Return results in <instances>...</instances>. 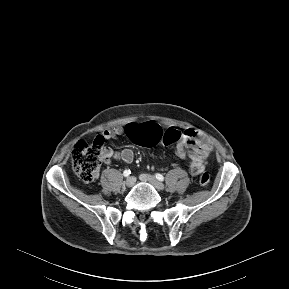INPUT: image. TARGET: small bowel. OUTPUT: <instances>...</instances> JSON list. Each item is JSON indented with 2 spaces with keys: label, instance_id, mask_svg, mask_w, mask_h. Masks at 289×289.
Segmentation results:
<instances>
[{
  "label": "small bowel",
  "instance_id": "small-bowel-1",
  "mask_svg": "<svg viewBox=\"0 0 289 289\" xmlns=\"http://www.w3.org/2000/svg\"><path fill=\"white\" fill-rule=\"evenodd\" d=\"M124 133L125 129L121 126H117L103 131L99 137L105 141L115 139ZM212 151V142L193 129H187L175 147V153L178 158L189 159L190 173L193 176H197L204 171L207 158ZM113 159L124 163H131L134 159V153L130 148L116 151L112 148L105 147L102 156L103 162L109 164Z\"/></svg>",
  "mask_w": 289,
  "mask_h": 289
}]
</instances>
